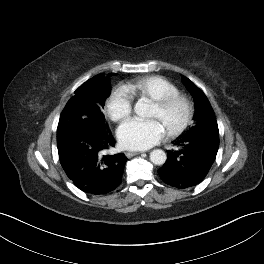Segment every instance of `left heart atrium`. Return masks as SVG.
Returning <instances> with one entry per match:
<instances>
[{
  "label": "left heart atrium",
  "instance_id": "39dd6f15",
  "mask_svg": "<svg viewBox=\"0 0 264 264\" xmlns=\"http://www.w3.org/2000/svg\"><path fill=\"white\" fill-rule=\"evenodd\" d=\"M165 128L158 119L132 118L118 129L120 143L132 150H145L157 144L165 135Z\"/></svg>",
  "mask_w": 264,
  "mask_h": 264
}]
</instances>
